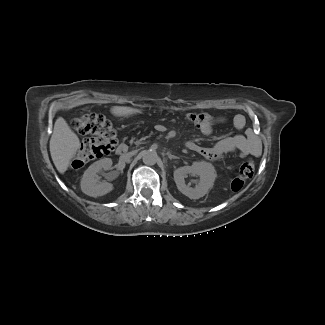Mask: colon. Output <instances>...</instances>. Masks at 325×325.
Wrapping results in <instances>:
<instances>
[{
    "instance_id": "obj_1",
    "label": "colon",
    "mask_w": 325,
    "mask_h": 325,
    "mask_svg": "<svg viewBox=\"0 0 325 325\" xmlns=\"http://www.w3.org/2000/svg\"><path fill=\"white\" fill-rule=\"evenodd\" d=\"M186 118L192 125L200 127L202 124L210 122L213 116L207 113H199L188 114ZM72 126L77 132L87 136L72 160L74 168H80L92 160L109 155L118 144V137L114 127L103 115L96 113L83 114L73 120ZM254 169V161L252 159L245 160L231 182V189L240 191L247 181L252 178Z\"/></svg>"
}]
</instances>
